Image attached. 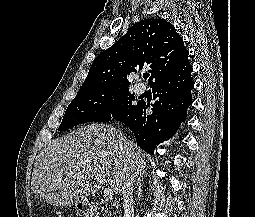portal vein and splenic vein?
I'll return each mask as SVG.
<instances>
[{
  "label": "portal vein and splenic vein",
  "instance_id": "18ae733b",
  "mask_svg": "<svg viewBox=\"0 0 255 217\" xmlns=\"http://www.w3.org/2000/svg\"><path fill=\"white\" fill-rule=\"evenodd\" d=\"M68 175L71 174V172H67ZM95 179L100 183V184H105V180L101 176H96ZM103 197L106 201H111L113 199V191L109 187H105L103 191Z\"/></svg>",
  "mask_w": 255,
  "mask_h": 217
}]
</instances>
